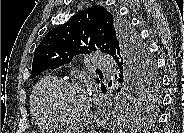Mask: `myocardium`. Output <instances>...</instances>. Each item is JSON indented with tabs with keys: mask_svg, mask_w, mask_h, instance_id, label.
<instances>
[{
	"mask_svg": "<svg viewBox=\"0 0 184 133\" xmlns=\"http://www.w3.org/2000/svg\"><path fill=\"white\" fill-rule=\"evenodd\" d=\"M65 88H75L81 90L87 97V109L85 113L76 119H67L61 117L55 110L54 100L56 95ZM44 107L47 114L53 120L55 124H61L65 126L75 127L86 123L92 115V105L89 97V93L82 84L74 80H59L53 86L49 88L44 98Z\"/></svg>",
	"mask_w": 184,
	"mask_h": 133,
	"instance_id": "f54148a6",
	"label": "myocardium"
}]
</instances>
